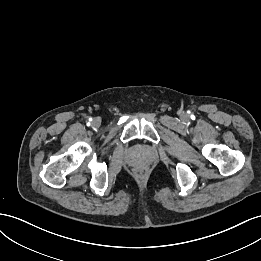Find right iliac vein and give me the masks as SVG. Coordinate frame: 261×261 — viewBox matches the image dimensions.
<instances>
[{
    "mask_svg": "<svg viewBox=\"0 0 261 261\" xmlns=\"http://www.w3.org/2000/svg\"><path fill=\"white\" fill-rule=\"evenodd\" d=\"M100 124H101V121H100V119H98V118H95L93 121H92V126L93 127H99L100 126Z\"/></svg>",
    "mask_w": 261,
    "mask_h": 261,
    "instance_id": "63e3f726",
    "label": "right iliac vein"
}]
</instances>
